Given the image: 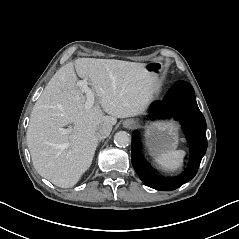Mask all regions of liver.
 I'll return each instance as SVG.
<instances>
[{"instance_id":"6515ba94","label":"liver","mask_w":239,"mask_h":239,"mask_svg":"<svg viewBox=\"0 0 239 239\" xmlns=\"http://www.w3.org/2000/svg\"><path fill=\"white\" fill-rule=\"evenodd\" d=\"M147 66L79 58L51 78L33 107L27 130L28 149L41 177L61 188L74 187L81 180L95 156L96 130L104 123L114 125L116 118L139 114L150 89L159 86L158 73ZM78 76L91 85L95 95L91 106ZM64 126L68 128L62 134L58 130Z\"/></svg>"}]
</instances>
